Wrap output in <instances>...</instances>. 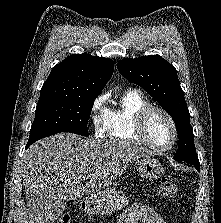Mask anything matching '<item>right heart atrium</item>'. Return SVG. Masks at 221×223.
Returning <instances> with one entry per match:
<instances>
[{"label": "right heart atrium", "instance_id": "1", "mask_svg": "<svg viewBox=\"0 0 221 223\" xmlns=\"http://www.w3.org/2000/svg\"><path fill=\"white\" fill-rule=\"evenodd\" d=\"M105 96H98L92 103L90 109V120L94 134L102 137L107 129L108 109L105 106Z\"/></svg>", "mask_w": 221, "mask_h": 223}]
</instances>
